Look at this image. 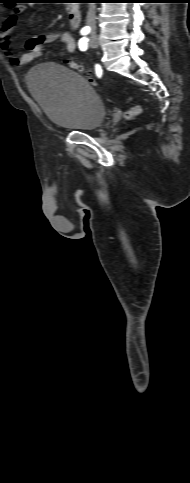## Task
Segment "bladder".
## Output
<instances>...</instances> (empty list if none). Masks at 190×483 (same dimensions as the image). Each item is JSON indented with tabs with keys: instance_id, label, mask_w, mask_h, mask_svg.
<instances>
[{
	"instance_id": "1",
	"label": "bladder",
	"mask_w": 190,
	"mask_h": 483,
	"mask_svg": "<svg viewBox=\"0 0 190 483\" xmlns=\"http://www.w3.org/2000/svg\"><path fill=\"white\" fill-rule=\"evenodd\" d=\"M27 85L54 124L73 131H90L105 120V106L98 93L80 74L66 66L42 63L30 71Z\"/></svg>"
}]
</instances>
